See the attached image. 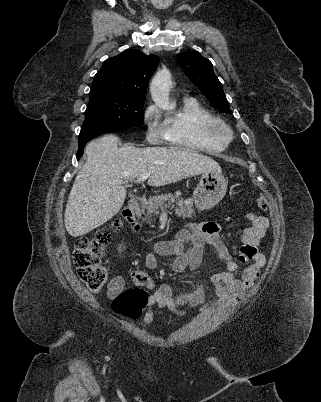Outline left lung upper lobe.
Returning <instances> with one entry per match:
<instances>
[{
    "label": "left lung upper lobe",
    "mask_w": 321,
    "mask_h": 402,
    "mask_svg": "<svg viewBox=\"0 0 321 402\" xmlns=\"http://www.w3.org/2000/svg\"><path fill=\"white\" fill-rule=\"evenodd\" d=\"M177 60L188 78L207 99L224 113H231L222 85L213 72L212 63L197 51L180 53Z\"/></svg>",
    "instance_id": "left-lung-upper-lobe-1"
}]
</instances>
